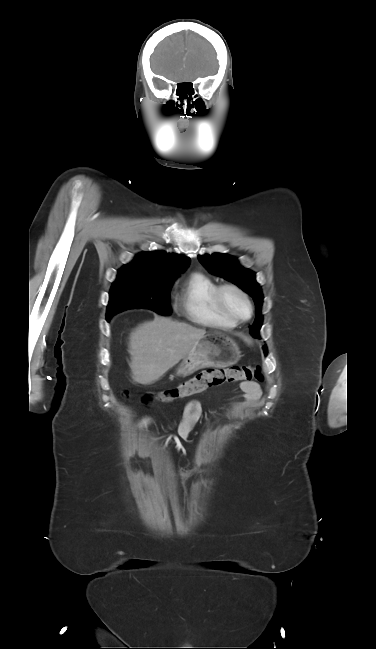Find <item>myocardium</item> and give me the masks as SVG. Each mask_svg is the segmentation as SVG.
I'll list each match as a JSON object with an SVG mask.
<instances>
[{"instance_id":"1","label":"myocardium","mask_w":376,"mask_h":649,"mask_svg":"<svg viewBox=\"0 0 376 649\" xmlns=\"http://www.w3.org/2000/svg\"><path fill=\"white\" fill-rule=\"evenodd\" d=\"M229 292L235 293L240 298H242L244 302L247 304L248 313L246 316L244 317L238 316L230 310L226 302V294ZM215 296H216L217 303L221 311L223 312V314L229 319H231L232 321H234L235 323L245 322L251 318L253 313V305L251 299L249 295L238 285L233 283L221 284L218 286Z\"/></svg>"}]
</instances>
